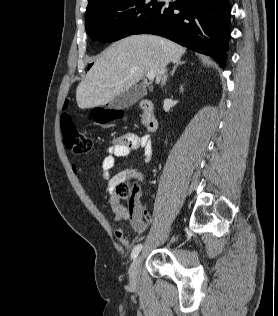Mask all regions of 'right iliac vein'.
<instances>
[{
	"label": "right iliac vein",
	"mask_w": 278,
	"mask_h": 316,
	"mask_svg": "<svg viewBox=\"0 0 278 316\" xmlns=\"http://www.w3.org/2000/svg\"><path fill=\"white\" fill-rule=\"evenodd\" d=\"M142 261V256L139 255L132 262L129 269V281L132 285H137L139 282L140 265Z\"/></svg>",
	"instance_id": "obj_1"
}]
</instances>
